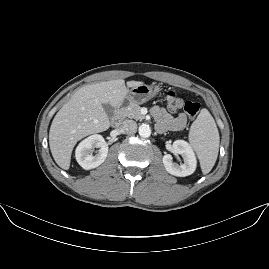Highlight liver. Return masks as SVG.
<instances>
[{"instance_id":"obj_1","label":"liver","mask_w":269,"mask_h":269,"mask_svg":"<svg viewBox=\"0 0 269 269\" xmlns=\"http://www.w3.org/2000/svg\"><path fill=\"white\" fill-rule=\"evenodd\" d=\"M130 81L128 87L140 85ZM123 79L88 85L78 90L56 114L49 134L50 148L56 163L69 168L70 156L75 143L82 137L105 131L109 119L102 104L120 105L128 92Z\"/></svg>"}]
</instances>
